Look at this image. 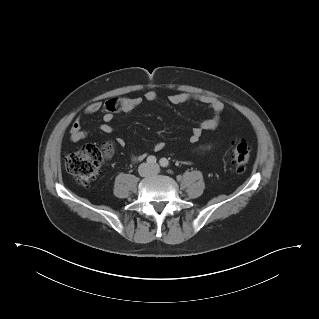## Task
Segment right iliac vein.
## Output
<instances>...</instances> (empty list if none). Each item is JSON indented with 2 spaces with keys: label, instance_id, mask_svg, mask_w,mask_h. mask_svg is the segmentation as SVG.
Wrapping results in <instances>:
<instances>
[{
  "label": "right iliac vein",
  "instance_id": "right-iliac-vein-1",
  "mask_svg": "<svg viewBox=\"0 0 319 319\" xmlns=\"http://www.w3.org/2000/svg\"><path fill=\"white\" fill-rule=\"evenodd\" d=\"M140 174L142 176H148L150 174V167L145 164L140 168Z\"/></svg>",
  "mask_w": 319,
  "mask_h": 319
}]
</instances>
